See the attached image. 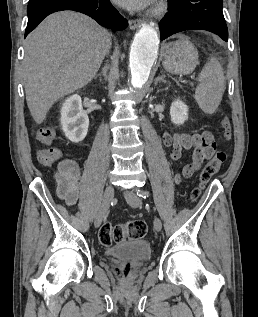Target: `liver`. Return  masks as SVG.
Wrapping results in <instances>:
<instances>
[{
	"mask_svg": "<svg viewBox=\"0 0 258 317\" xmlns=\"http://www.w3.org/2000/svg\"><path fill=\"white\" fill-rule=\"evenodd\" d=\"M110 42L111 32L73 10L49 14L28 34L23 76L28 108L37 124L58 98L92 80Z\"/></svg>",
	"mask_w": 258,
	"mask_h": 317,
	"instance_id": "6515ba94",
	"label": "liver"
}]
</instances>
